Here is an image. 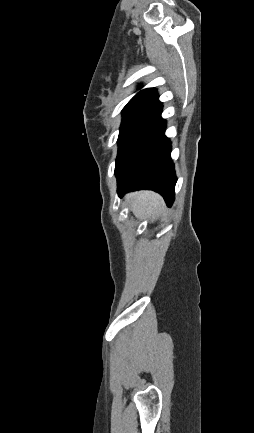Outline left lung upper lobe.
I'll list each match as a JSON object with an SVG mask.
<instances>
[{"mask_svg": "<svg viewBox=\"0 0 254 433\" xmlns=\"http://www.w3.org/2000/svg\"><path fill=\"white\" fill-rule=\"evenodd\" d=\"M162 103L154 88H147L138 92L124 107L122 123L118 137V156L115 172L138 131L160 109Z\"/></svg>", "mask_w": 254, "mask_h": 433, "instance_id": "obj_1", "label": "left lung upper lobe"}]
</instances>
